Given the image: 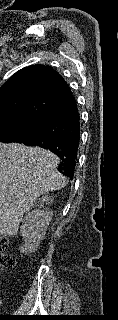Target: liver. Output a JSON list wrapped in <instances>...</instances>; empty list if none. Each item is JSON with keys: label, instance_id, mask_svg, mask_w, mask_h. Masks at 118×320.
<instances>
[{"label": "liver", "instance_id": "obj_1", "mask_svg": "<svg viewBox=\"0 0 118 320\" xmlns=\"http://www.w3.org/2000/svg\"><path fill=\"white\" fill-rule=\"evenodd\" d=\"M58 158L40 148L0 143L1 222L17 215L40 193L64 185L65 177L56 169ZM8 201V202H7Z\"/></svg>", "mask_w": 118, "mask_h": 320}]
</instances>
